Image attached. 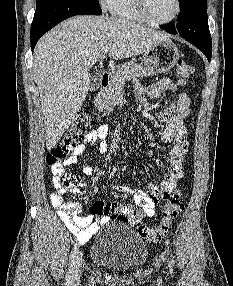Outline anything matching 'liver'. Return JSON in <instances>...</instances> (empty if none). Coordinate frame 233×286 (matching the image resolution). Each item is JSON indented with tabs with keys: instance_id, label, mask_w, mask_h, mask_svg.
Wrapping results in <instances>:
<instances>
[{
	"instance_id": "6515ba94",
	"label": "liver",
	"mask_w": 233,
	"mask_h": 286,
	"mask_svg": "<svg viewBox=\"0 0 233 286\" xmlns=\"http://www.w3.org/2000/svg\"><path fill=\"white\" fill-rule=\"evenodd\" d=\"M168 35L108 16H75L46 33L37 43L32 72L40 92L46 148L52 149L69 128L89 90V69L106 56L124 59L146 52Z\"/></svg>"
}]
</instances>
